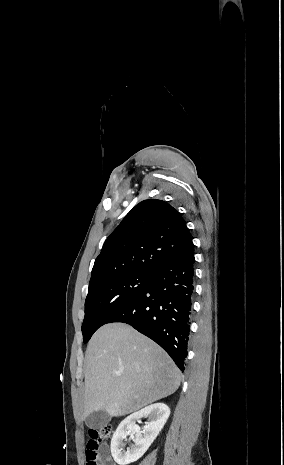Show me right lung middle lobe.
Returning <instances> with one entry per match:
<instances>
[{"label": "right lung middle lobe", "mask_w": 284, "mask_h": 465, "mask_svg": "<svg viewBox=\"0 0 284 465\" xmlns=\"http://www.w3.org/2000/svg\"><path fill=\"white\" fill-rule=\"evenodd\" d=\"M152 275L126 274L109 278L89 287L82 324L83 342L127 306L148 284Z\"/></svg>", "instance_id": "dd1d6c3e"}]
</instances>
